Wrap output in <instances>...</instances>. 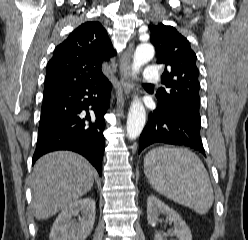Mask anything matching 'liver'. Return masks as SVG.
<instances>
[{
    "instance_id": "1",
    "label": "liver",
    "mask_w": 248,
    "mask_h": 240,
    "mask_svg": "<svg viewBox=\"0 0 248 240\" xmlns=\"http://www.w3.org/2000/svg\"><path fill=\"white\" fill-rule=\"evenodd\" d=\"M94 170L82 156L69 151L44 155L34 165L33 210L47 219L85 195L93 186Z\"/></svg>"
}]
</instances>
